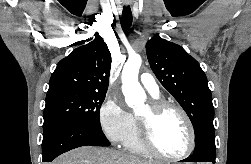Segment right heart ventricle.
<instances>
[{"label": "right heart ventricle", "mask_w": 251, "mask_h": 164, "mask_svg": "<svg viewBox=\"0 0 251 164\" xmlns=\"http://www.w3.org/2000/svg\"><path fill=\"white\" fill-rule=\"evenodd\" d=\"M123 144L128 151L134 154L142 156L151 155L142 144L139 123L136 117H133L132 129L124 140Z\"/></svg>", "instance_id": "e07e8e85"}]
</instances>
